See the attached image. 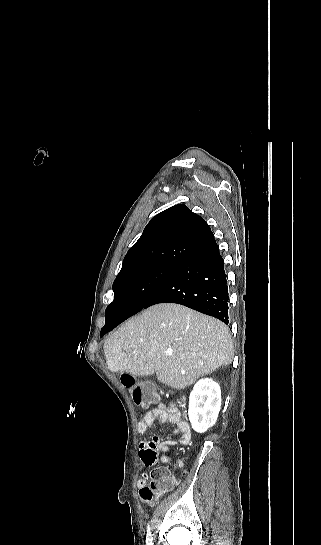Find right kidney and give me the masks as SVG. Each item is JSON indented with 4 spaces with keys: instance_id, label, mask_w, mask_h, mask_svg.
I'll use <instances>...</instances> for the list:
<instances>
[{
    "instance_id": "obj_1",
    "label": "right kidney",
    "mask_w": 321,
    "mask_h": 545,
    "mask_svg": "<svg viewBox=\"0 0 321 545\" xmlns=\"http://www.w3.org/2000/svg\"><path fill=\"white\" fill-rule=\"evenodd\" d=\"M221 409V391L212 379H200L189 397V421L197 433H205L215 425Z\"/></svg>"
}]
</instances>
